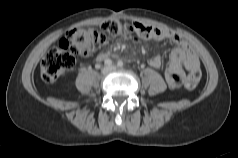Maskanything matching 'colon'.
I'll list each match as a JSON object with an SVG mask.
<instances>
[{"label":"colon","instance_id":"colon-1","mask_svg":"<svg viewBox=\"0 0 238 158\" xmlns=\"http://www.w3.org/2000/svg\"><path fill=\"white\" fill-rule=\"evenodd\" d=\"M137 32L136 23L116 19L104 22L100 28L71 29L59 40L58 45L43 58L40 66L42 79L48 83L56 81L63 73L74 67L73 53L82 57L90 56L97 47L105 43L107 35L133 38ZM200 79V69L190 71L185 79V88L193 90Z\"/></svg>","mask_w":238,"mask_h":158}]
</instances>
